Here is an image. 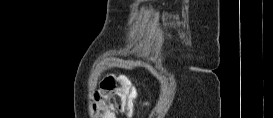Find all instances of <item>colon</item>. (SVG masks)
I'll return each instance as SVG.
<instances>
[{
  "label": "colon",
  "instance_id": "1",
  "mask_svg": "<svg viewBox=\"0 0 273 118\" xmlns=\"http://www.w3.org/2000/svg\"><path fill=\"white\" fill-rule=\"evenodd\" d=\"M94 98L96 100L95 114L100 118H114L116 109L129 115H133L135 111L136 92L126 78L105 77Z\"/></svg>",
  "mask_w": 273,
  "mask_h": 118
}]
</instances>
